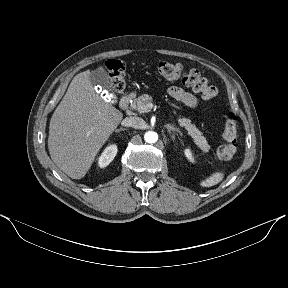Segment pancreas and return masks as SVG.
<instances>
[{
	"instance_id": "1",
	"label": "pancreas",
	"mask_w": 288,
	"mask_h": 288,
	"mask_svg": "<svg viewBox=\"0 0 288 288\" xmlns=\"http://www.w3.org/2000/svg\"><path fill=\"white\" fill-rule=\"evenodd\" d=\"M152 100V96L144 94L134 99L131 103V107L142 113L141 107L151 103ZM178 121L181 126L185 127V129L188 131V134L193 138L194 143L203 151V153H207L210 149V146L206 138L202 135V132L195 126V124H192L190 119L181 116H179Z\"/></svg>"
}]
</instances>
